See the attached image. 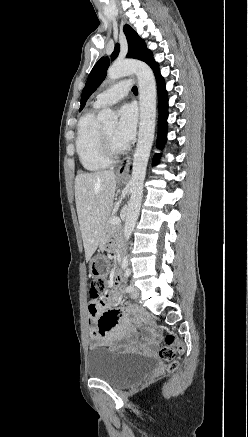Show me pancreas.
Instances as JSON below:
<instances>
[{"label":"pancreas","instance_id":"pancreas-1","mask_svg":"<svg viewBox=\"0 0 248 437\" xmlns=\"http://www.w3.org/2000/svg\"><path fill=\"white\" fill-rule=\"evenodd\" d=\"M111 218H112V217H111ZM111 218H109V219L107 220V222H106V230H107L108 232H113L114 229L116 228L115 225L110 224L109 221H110Z\"/></svg>","mask_w":248,"mask_h":437}]
</instances>
